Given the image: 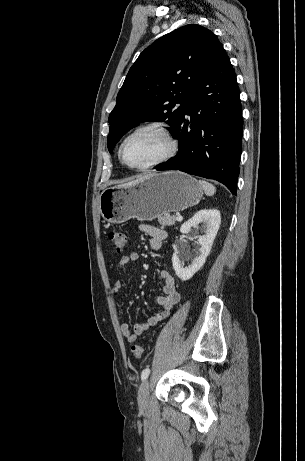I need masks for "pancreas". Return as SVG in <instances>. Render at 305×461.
<instances>
[{"label": "pancreas", "instance_id": "cf45deb5", "mask_svg": "<svg viewBox=\"0 0 305 461\" xmlns=\"http://www.w3.org/2000/svg\"><path fill=\"white\" fill-rule=\"evenodd\" d=\"M177 219L175 215H171L169 213H164L161 217H159L158 222L162 226H172L176 223Z\"/></svg>", "mask_w": 305, "mask_h": 461}]
</instances>
